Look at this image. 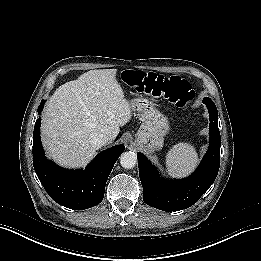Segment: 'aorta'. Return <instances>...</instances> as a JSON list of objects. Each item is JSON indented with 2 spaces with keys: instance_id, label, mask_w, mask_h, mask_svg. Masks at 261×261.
<instances>
[{
  "instance_id": "obj_1",
  "label": "aorta",
  "mask_w": 261,
  "mask_h": 261,
  "mask_svg": "<svg viewBox=\"0 0 261 261\" xmlns=\"http://www.w3.org/2000/svg\"><path fill=\"white\" fill-rule=\"evenodd\" d=\"M120 164L124 169H132L137 164V156L134 152H124L120 156Z\"/></svg>"
}]
</instances>
